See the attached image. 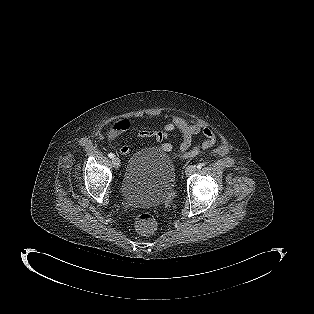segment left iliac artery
I'll return each instance as SVG.
<instances>
[{
	"mask_svg": "<svg viewBox=\"0 0 314 314\" xmlns=\"http://www.w3.org/2000/svg\"><path fill=\"white\" fill-rule=\"evenodd\" d=\"M202 166H203L202 164H198V165H197V169H201Z\"/></svg>",
	"mask_w": 314,
	"mask_h": 314,
	"instance_id": "1",
	"label": "left iliac artery"
}]
</instances>
